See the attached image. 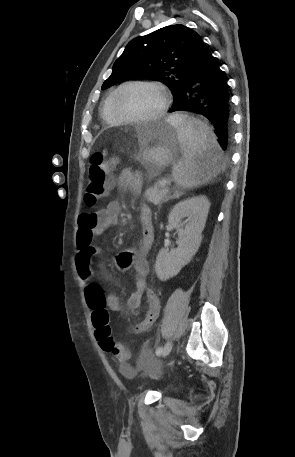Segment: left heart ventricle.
<instances>
[{
  "label": "left heart ventricle",
  "instance_id": "1",
  "mask_svg": "<svg viewBox=\"0 0 295 457\" xmlns=\"http://www.w3.org/2000/svg\"><path fill=\"white\" fill-rule=\"evenodd\" d=\"M162 104L160 91L153 86L136 85L125 88L118 97L120 111L131 117H146L156 113Z\"/></svg>",
  "mask_w": 295,
  "mask_h": 457
}]
</instances>
